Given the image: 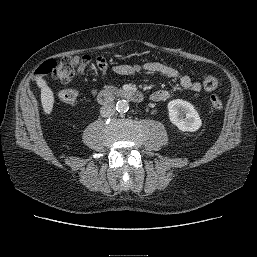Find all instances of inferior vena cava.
Here are the masks:
<instances>
[{
  "label": "inferior vena cava",
  "instance_id": "inferior-vena-cava-1",
  "mask_svg": "<svg viewBox=\"0 0 257 257\" xmlns=\"http://www.w3.org/2000/svg\"><path fill=\"white\" fill-rule=\"evenodd\" d=\"M116 109L113 103H107L106 105L102 106L100 109V114L102 117H111L115 114Z\"/></svg>",
  "mask_w": 257,
  "mask_h": 257
}]
</instances>
